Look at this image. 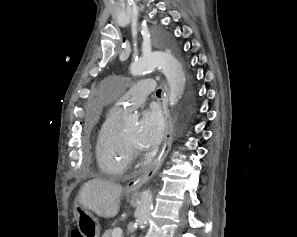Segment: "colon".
<instances>
[{"label":"colon","instance_id":"1","mask_svg":"<svg viewBox=\"0 0 297 237\" xmlns=\"http://www.w3.org/2000/svg\"><path fill=\"white\" fill-rule=\"evenodd\" d=\"M71 237H82V235L79 232L74 231V232H72Z\"/></svg>","mask_w":297,"mask_h":237}]
</instances>
